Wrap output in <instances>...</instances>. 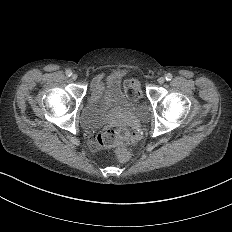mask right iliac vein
I'll return each mask as SVG.
<instances>
[{"instance_id":"obj_1","label":"right iliac vein","mask_w":232,"mask_h":232,"mask_svg":"<svg viewBox=\"0 0 232 232\" xmlns=\"http://www.w3.org/2000/svg\"><path fill=\"white\" fill-rule=\"evenodd\" d=\"M78 78V75L77 74H74L73 76H72V79L73 80H76Z\"/></svg>"}]
</instances>
